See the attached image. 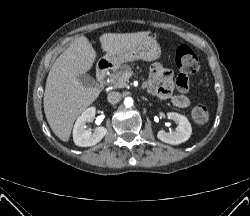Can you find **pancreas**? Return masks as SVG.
Returning <instances> with one entry per match:
<instances>
[{"mask_svg": "<svg viewBox=\"0 0 250 216\" xmlns=\"http://www.w3.org/2000/svg\"><path fill=\"white\" fill-rule=\"evenodd\" d=\"M131 71L127 64L122 65L117 71L110 74V84L113 88H124L127 86L125 74Z\"/></svg>", "mask_w": 250, "mask_h": 216, "instance_id": "pancreas-1", "label": "pancreas"}]
</instances>
